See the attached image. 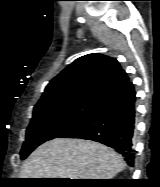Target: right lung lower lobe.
Segmentation results:
<instances>
[{
  "instance_id": "right-lung-lower-lobe-1",
  "label": "right lung lower lobe",
  "mask_w": 160,
  "mask_h": 187,
  "mask_svg": "<svg viewBox=\"0 0 160 187\" xmlns=\"http://www.w3.org/2000/svg\"><path fill=\"white\" fill-rule=\"evenodd\" d=\"M135 103L134 85L128 81L98 100L86 116L58 137L100 142L114 148L129 166H133Z\"/></svg>"
}]
</instances>
